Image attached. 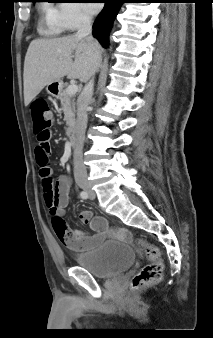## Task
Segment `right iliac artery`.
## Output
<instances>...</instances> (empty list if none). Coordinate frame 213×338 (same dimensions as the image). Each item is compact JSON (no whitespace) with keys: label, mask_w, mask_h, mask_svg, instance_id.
<instances>
[{"label":"right iliac artery","mask_w":213,"mask_h":338,"mask_svg":"<svg viewBox=\"0 0 213 338\" xmlns=\"http://www.w3.org/2000/svg\"><path fill=\"white\" fill-rule=\"evenodd\" d=\"M80 197H81L82 199H87V198H88V193H87V191H81V192H80Z\"/></svg>","instance_id":"right-iliac-artery-1"}]
</instances>
